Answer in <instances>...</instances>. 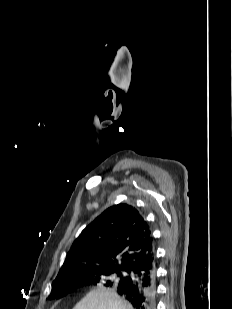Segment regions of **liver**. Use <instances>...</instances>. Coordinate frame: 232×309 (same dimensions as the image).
<instances>
[{
  "label": "liver",
  "instance_id": "liver-1",
  "mask_svg": "<svg viewBox=\"0 0 232 309\" xmlns=\"http://www.w3.org/2000/svg\"><path fill=\"white\" fill-rule=\"evenodd\" d=\"M73 309H134L111 289L97 288L82 298Z\"/></svg>",
  "mask_w": 232,
  "mask_h": 309
}]
</instances>
